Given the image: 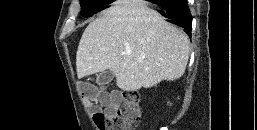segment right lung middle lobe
Returning a JSON list of instances; mask_svg holds the SVG:
<instances>
[{
	"label": "right lung middle lobe",
	"instance_id": "right-lung-middle-lobe-1",
	"mask_svg": "<svg viewBox=\"0 0 257 130\" xmlns=\"http://www.w3.org/2000/svg\"><path fill=\"white\" fill-rule=\"evenodd\" d=\"M109 4L110 0H81V15L91 16Z\"/></svg>",
	"mask_w": 257,
	"mask_h": 130
}]
</instances>
